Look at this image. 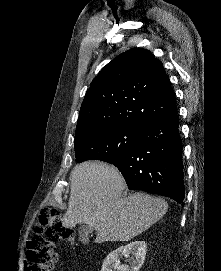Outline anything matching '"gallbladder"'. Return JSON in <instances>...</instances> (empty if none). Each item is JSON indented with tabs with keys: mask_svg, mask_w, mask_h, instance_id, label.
<instances>
[{
	"mask_svg": "<svg viewBox=\"0 0 221 271\" xmlns=\"http://www.w3.org/2000/svg\"><path fill=\"white\" fill-rule=\"evenodd\" d=\"M94 231V227L92 225H79L78 227V233H79V241H85V239H88L89 233H92Z\"/></svg>",
	"mask_w": 221,
	"mask_h": 271,
	"instance_id": "obj_1",
	"label": "gallbladder"
}]
</instances>
